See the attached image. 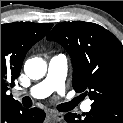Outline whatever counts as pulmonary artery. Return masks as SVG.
<instances>
[{"mask_svg": "<svg viewBox=\"0 0 123 123\" xmlns=\"http://www.w3.org/2000/svg\"><path fill=\"white\" fill-rule=\"evenodd\" d=\"M67 74V58L65 55H57L51 58L46 77L26 91V94L35 99H42L53 92L63 93ZM90 101L82 104V110L90 111Z\"/></svg>", "mask_w": 123, "mask_h": 123, "instance_id": "e3ab8cb5", "label": "pulmonary artery"}]
</instances>
